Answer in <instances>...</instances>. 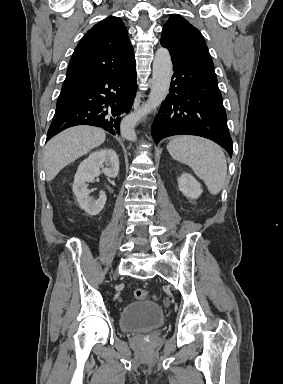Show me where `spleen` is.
Instances as JSON below:
<instances>
[{"instance_id":"spleen-1","label":"spleen","mask_w":283,"mask_h":384,"mask_svg":"<svg viewBox=\"0 0 283 384\" xmlns=\"http://www.w3.org/2000/svg\"><path fill=\"white\" fill-rule=\"evenodd\" d=\"M167 150L174 160L192 168L212 196L219 194L226 180L227 162L218 144L197 136H177L169 142Z\"/></svg>"}]
</instances>
